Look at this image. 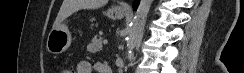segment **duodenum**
I'll return each instance as SVG.
<instances>
[{"mask_svg":"<svg viewBox=\"0 0 244 73\" xmlns=\"http://www.w3.org/2000/svg\"><path fill=\"white\" fill-rule=\"evenodd\" d=\"M106 66V65H105ZM104 72L106 73H111V70L108 68V66H106V68L104 69Z\"/></svg>","mask_w":244,"mask_h":73,"instance_id":"410a0bca","label":"duodenum"}]
</instances>
